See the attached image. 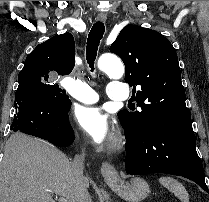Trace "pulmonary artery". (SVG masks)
I'll return each instance as SVG.
<instances>
[{
	"label": "pulmonary artery",
	"instance_id": "obj_1",
	"mask_svg": "<svg viewBox=\"0 0 209 202\" xmlns=\"http://www.w3.org/2000/svg\"><path fill=\"white\" fill-rule=\"evenodd\" d=\"M62 84L80 102L95 103L98 100L96 92L77 78H73V80L64 79ZM109 87L108 96L111 100L126 101L128 99L129 92L126 87L120 84L119 80H109Z\"/></svg>",
	"mask_w": 209,
	"mask_h": 202
}]
</instances>
